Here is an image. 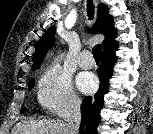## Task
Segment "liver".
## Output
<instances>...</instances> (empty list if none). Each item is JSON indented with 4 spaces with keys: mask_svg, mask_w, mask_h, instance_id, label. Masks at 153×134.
I'll use <instances>...</instances> for the list:
<instances>
[{
    "mask_svg": "<svg viewBox=\"0 0 153 134\" xmlns=\"http://www.w3.org/2000/svg\"><path fill=\"white\" fill-rule=\"evenodd\" d=\"M13 134H64V123L55 120H32L17 124Z\"/></svg>",
    "mask_w": 153,
    "mask_h": 134,
    "instance_id": "6515ba94",
    "label": "liver"
}]
</instances>
